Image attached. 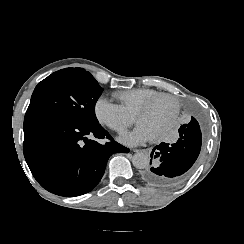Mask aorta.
Returning <instances> with one entry per match:
<instances>
[{"label": "aorta", "instance_id": "obj_1", "mask_svg": "<svg viewBox=\"0 0 244 244\" xmlns=\"http://www.w3.org/2000/svg\"><path fill=\"white\" fill-rule=\"evenodd\" d=\"M132 164L137 169H144L149 165V156L143 152H138L133 155Z\"/></svg>", "mask_w": 244, "mask_h": 244}]
</instances>
